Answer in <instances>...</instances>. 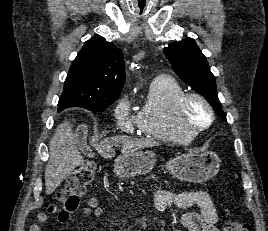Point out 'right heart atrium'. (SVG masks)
<instances>
[{
    "label": "right heart atrium",
    "mask_w": 268,
    "mask_h": 231,
    "mask_svg": "<svg viewBox=\"0 0 268 231\" xmlns=\"http://www.w3.org/2000/svg\"><path fill=\"white\" fill-rule=\"evenodd\" d=\"M114 117L117 125L127 132H131L135 126H138L137 117L132 113L131 100L127 94L117 101Z\"/></svg>",
    "instance_id": "obj_1"
}]
</instances>
